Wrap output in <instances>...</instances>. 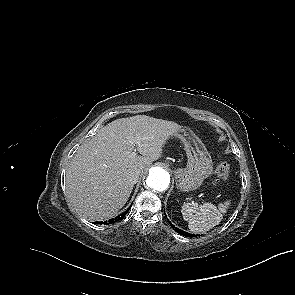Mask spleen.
<instances>
[{
	"instance_id": "spleen-1",
	"label": "spleen",
	"mask_w": 295,
	"mask_h": 295,
	"mask_svg": "<svg viewBox=\"0 0 295 295\" xmlns=\"http://www.w3.org/2000/svg\"><path fill=\"white\" fill-rule=\"evenodd\" d=\"M229 205L230 201L228 200L220 203L218 207L211 203L198 205L190 202L182 205L181 213L183 219L188 222L191 232H206L221 222L223 214L226 213Z\"/></svg>"
}]
</instances>
